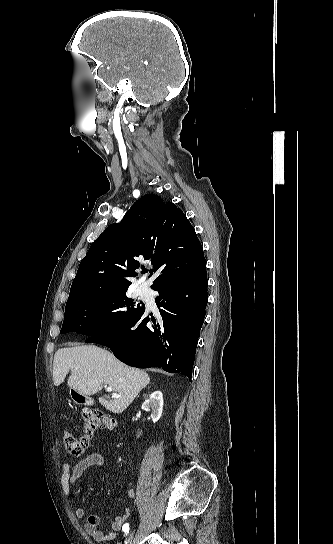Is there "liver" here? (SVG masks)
<instances>
[{
	"instance_id": "1",
	"label": "liver",
	"mask_w": 333,
	"mask_h": 544,
	"mask_svg": "<svg viewBox=\"0 0 333 544\" xmlns=\"http://www.w3.org/2000/svg\"><path fill=\"white\" fill-rule=\"evenodd\" d=\"M68 385L78 393L90 396L112 387L120 397L99 398V402L113 413H122L150 383L149 375L142 370L129 367L105 349L95 345H76L61 348L54 356L53 381L59 386L68 372Z\"/></svg>"
}]
</instances>
